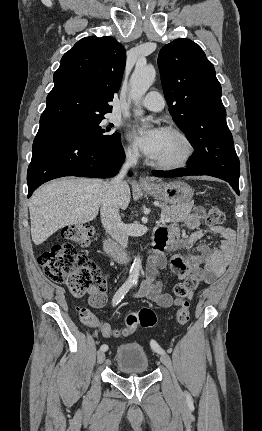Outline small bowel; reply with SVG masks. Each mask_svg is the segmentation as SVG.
I'll return each instance as SVG.
<instances>
[{
	"label": "small bowel",
	"mask_w": 262,
	"mask_h": 431,
	"mask_svg": "<svg viewBox=\"0 0 262 431\" xmlns=\"http://www.w3.org/2000/svg\"><path fill=\"white\" fill-rule=\"evenodd\" d=\"M204 216L205 212L202 209H194L183 221L186 228L192 231L187 237L181 236L180 223H172L156 229V237L159 238L162 249L148 260L145 281L136 296H146L160 308L180 305V298L173 297L163 290L160 274L169 265L177 280L195 276L203 283L212 284L223 275L232 259L234 231L222 225H208L209 231L222 237L220 248L212 251L208 245L201 243L204 230L200 228V223ZM192 249L196 250L195 255L182 253ZM167 250L173 252L170 257L167 256ZM112 276L113 274L106 275L89 289L90 307L99 308L106 303L107 287ZM85 310L91 314L88 309ZM91 316L94 318L92 314Z\"/></svg>",
	"instance_id": "c3829d8e"
}]
</instances>
